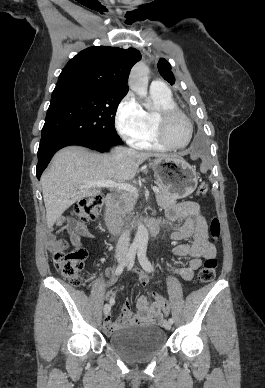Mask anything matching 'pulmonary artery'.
<instances>
[{"label": "pulmonary artery", "instance_id": "1", "mask_svg": "<svg viewBox=\"0 0 265 388\" xmlns=\"http://www.w3.org/2000/svg\"><path fill=\"white\" fill-rule=\"evenodd\" d=\"M150 85L153 86L155 90H170V83H164L162 79H151Z\"/></svg>", "mask_w": 265, "mask_h": 388}]
</instances>
